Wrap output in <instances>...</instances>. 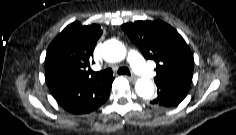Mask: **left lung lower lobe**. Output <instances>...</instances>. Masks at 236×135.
Wrapping results in <instances>:
<instances>
[{"label": "left lung lower lobe", "instance_id": "0a47b994", "mask_svg": "<svg viewBox=\"0 0 236 135\" xmlns=\"http://www.w3.org/2000/svg\"><path fill=\"white\" fill-rule=\"evenodd\" d=\"M158 96L150 101L156 107H175L187 95L191 80L189 79H168L156 82Z\"/></svg>", "mask_w": 236, "mask_h": 135}]
</instances>
